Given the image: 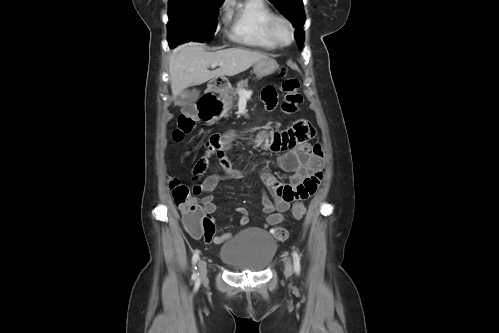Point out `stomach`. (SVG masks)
<instances>
[{
	"label": "stomach",
	"mask_w": 499,
	"mask_h": 333,
	"mask_svg": "<svg viewBox=\"0 0 499 333\" xmlns=\"http://www.w3.org/2000/svg\"><path fill=\"white\" fill-rule=\"evenodd\" d=\"M278 69V64L274 59H262L254 64V73L257 78L271 75Z\"/></svg>",
	"instance_id": "1"
}]
</instances>
